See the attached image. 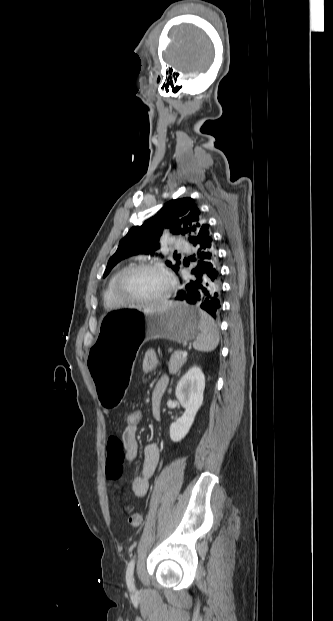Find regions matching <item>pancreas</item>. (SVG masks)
<instances>
[{"label":"pancreas","instance_id":"obj_1","mask_svg":"<svg viewBox=\"0 0 333 621\" xmlns=\"http://www.w3.org/2000/svg\"><path fill=\"white\" fill-rule=\"evenodd\" d=\"M185 362H186V358L182 357V351L181 350L175 351L171 355L170 360L168 362L169 372L171 374H176L177 372L180 371L181 367L183 366Z\"/></svg>","mask_w":333,"mask_h":621}]
</instances>
